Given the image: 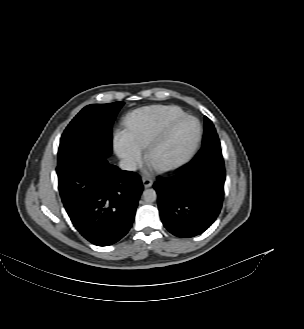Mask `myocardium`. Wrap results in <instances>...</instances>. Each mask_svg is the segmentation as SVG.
I'll list each match as a JSON object with an SVG mask.
<instances>
[{
    "mask_svg": "<svg viewBox=\"0 0 304 329\" xmlns=\"http://www.w3.org/2000/svg\"><path fill=\"white\" fill-rule=\"evenodd\" d=\"M187 119L194 120L197 123V127H198L196 139H195L193 145L191 146V148L189 149V151L184 156H182L180 159H178L176 161L164 163V164L155 163L152 158L155 150L170 138L174 129L182 121L187 120ZM202 136H203V128H202V124H201L200 120L192 115L184 114V115L174 119L172 122H170L168 124V126L166 127V129L150 142V144L146 148V154H145L146 162L152 169H154L155 171H157L159 173H167V172L175 171V170L183 167L184 165H186L194 157V155L196 154V152L199 149V146H200V143L202 140Z\"/></svg>",
    "mask_w": 304,
    "mask_h": 329,
    "instance_id": "f54148a6",
    "label": "myocardium"
}]
</instances>
